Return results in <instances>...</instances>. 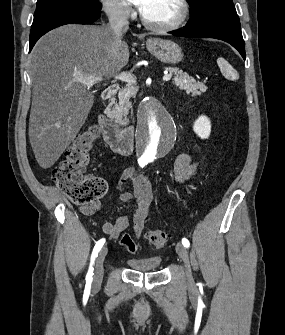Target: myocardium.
<instances>
[{
	"label": "myocardium",
	"instance_id": "myocardium-1",
	"mask_svg": "<svg viewBox=\"0 0 285 335\" xmlns=\"http://www.w3.org/2000/svg\"><path fill=\"white\" fill-rule=\"evenodd\" d=\"M175 3L181 9V14L175 22L163 26H154L145 20V18L142 16L141 23L144 28L153 33H167L179 29L188 19L190 14V7L187 1H175Z\"/></svg>",
	"mask_w": 285,
	"mask_h": 335
}]
</instances>
